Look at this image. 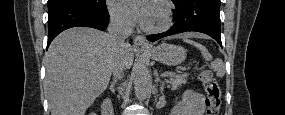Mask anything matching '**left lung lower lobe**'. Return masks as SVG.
I'll return each instance as SVG.
<instances>
[{"label":"left lung lower lobe","instance_id":"0a47b994","mask_svg":"<svg viewBox=\"0 0 285 115\" xmlns=\"http://www.w3.org/2000/svg\"><path fill=\"white\" fill-rule=\"evenodd\" d=\"M174 25L166 32L148 35L151 42L163 37L187 31L205 33L214 38L220 46V0H173Z\"/></svg>","mask_w":285,"mask_h":115}]
</instances>
